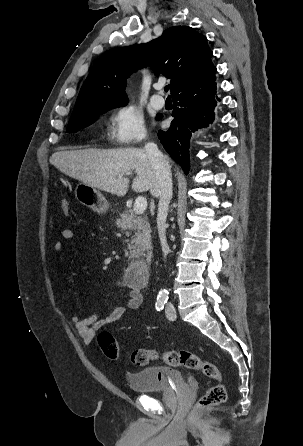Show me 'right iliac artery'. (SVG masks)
<instances>
[{"instance_id":"82829eb1","label":"right iliac artery","mask_w":303,"mask_h":446,"mask_svg":"<svg viewBox=\"0 0 303 446\" xmlns=\"http://www.w3.org/2000/svg\"><path fill=\"white\" fill-rule=\"evenodd\" d=\"M166 302L167 301L165 299H157L155 304L156 310L161 311L164 308Z\"/></svg>"}]
</instances>
